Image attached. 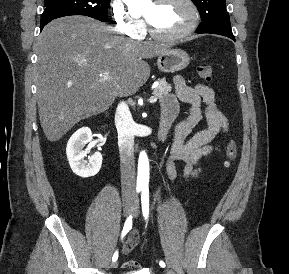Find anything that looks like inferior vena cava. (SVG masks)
<instances>
[{
    "label": "inferior vena cava",
    "instance_id": "inferior-vena-cava-1",
    "mask_svg": "<svg viewBox=\"0 0 289 274\" xmlns=\"http://www.w3.org/2000/svg\"><path fill=\"white\" fill-rule=\"evenodd\" d=\"M121 166L122 194H135L134 121L128 105L118 104L115 113Z\"/></svg>",
    "mask_w": 289,
    "mask_h": 274
}]
</instances>
